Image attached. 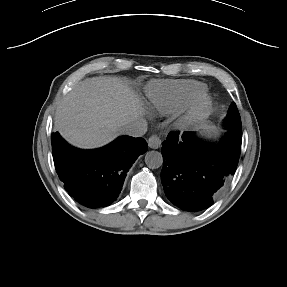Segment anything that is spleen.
Here are the masks:
<instances>
[{
  "label": "spleen",
  "mask_w": 287,
  "mask_h": 287,
  "mask_svg": "<svg viewBox=\"0 0 287 287\" xmlns=\"http://www.w3.org/2000/svg\"><path fill=\"white\" fill-rule=\"evenodd\" d=\"M201 128L203 129L202 134L208 138L217 137L219 135V131L214 125L203 124Z\"/></svg>",
  "instance_id": "1"
}]
</instances>
